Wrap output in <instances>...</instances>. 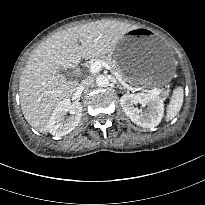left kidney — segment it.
Returning <instances> with one entry per match:
<instances>
[{"label":"left kidney","mask_w":205,"mask_h":205,"mask_svg":"<svg viewBox=\"0 0 205 205\" xmlns=\"http://www.w3.org/2000/svg\"><path fill=\"white\" fill-rule=\"evenodd\" d=\"M140 103L147 106L146 111L135 107ZM120 104L125 114L136 125L143 128H154L162 120L164 115V103L162 98L152 93L125 94L120 99Z\"/></svg>","instance_id":"left-kidney-1"}]
</instances>
